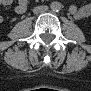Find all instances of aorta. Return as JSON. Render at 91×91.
<instances>
[{"label": "aorta", "instance_id": "obj_1", "mask_svg": "<svg viewBox=\"0 0 91 91\" xmlns=\"http://www.w3.org/2000/svg\"><path fill=\"white\" fill-rule=\"evenodd\" d=\"M61 3L60 2H57V1H54L50 4V8L52 11H55V12H58L61 10Z\"/></svg>", "mask_w": 91, "mask_h": 91}]
</instances>
